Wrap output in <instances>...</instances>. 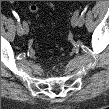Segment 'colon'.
<instances>
[{
	"label": "colon",
	"instance_id": "colon-1",
	"mask_svg": "<svg viewBox=\"0 0 109 109\" xmlns=\"http://www.w3.org/2000/svg\"><path fill=\"white\" fill-rule=\"evenodd\" d=\"M33 10H34V11H37V7H36V6H33Z\"/></svg>",
	"mask_w": 109,
	"mask_h": 109
}]
</instances>
